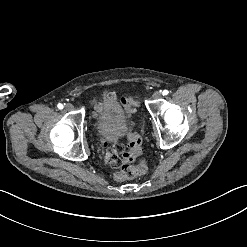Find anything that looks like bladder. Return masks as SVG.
Wrapping results in <instances>:
<instances>
[{"mask_svg": "<svg viewBox=\"0 0 247 247\" xmlns=\"http://www.w3.org/2000/svg\"><path fill=\"white\" fill-rule=\"evenodd\" d=\"M126 123L123 119V108L116 99L107 101L102 111L98 126L95 128V135L106 140H115L119 133L125 131Z\"/></svg>", "mask_w": 247, "mask_h": 247, "instance_id": "1", "label": "bladder"}]
</instances>
